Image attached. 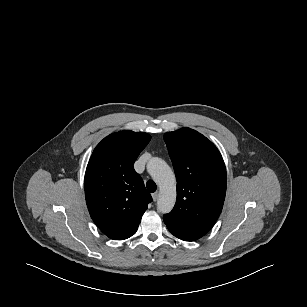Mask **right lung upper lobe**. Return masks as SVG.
<instances>
[{"label":"right lung upper lobe","mask_w":307,"mask_h":307,"mask_svg":"<svg viewBox=\"0 0 307 307\" xmlns=\"http://www.w3.org/2000/svg\"><path fill=\"white\" fill-rule=\"evenodd\" d=\"M147 133L124 130L104 138L87 165L84 188L91 218L114 240L134 235L152 201L133 164L149 143Z\"/></svg>","instance_id":"cb5924a9"}]
</instances>
